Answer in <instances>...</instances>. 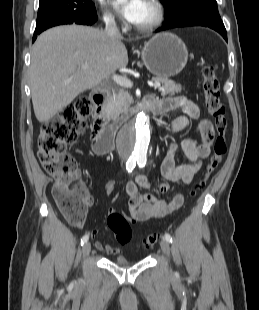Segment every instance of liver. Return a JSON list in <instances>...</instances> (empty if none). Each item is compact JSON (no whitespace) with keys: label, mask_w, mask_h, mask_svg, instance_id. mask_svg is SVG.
<instances>
[{"label":"liver","mask_w":259,"mask_h":310,"mask_svg":"<svg viewBox=\"0 0 259 310\" xmlns=\"http://www.w3.org/2000/svg\"><path fill=\"white\" fill-rule=\"evenodd\" d=\"M121 39L112 41L105 31L65 25L42 33L31 51L30 88L34 113L46 122L79 94L108 80L128 64ZM88 63V69L82 65Z\"/></svg>","instance_id":"6515ba94"}]
</instances>
